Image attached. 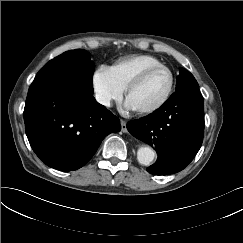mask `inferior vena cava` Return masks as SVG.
<instances>
[{"instance_id":"602c4592","label":"inferior vena cava","mask_w":243,"mask_h":243,"mask_svg":"<svg viewBox=\"0 0 243 243\" xmlns=\"http://www.w3.org/2000/svg\"><path fill=\"white\" fill-rule=\"evenodd\" d=\"M96 100L104 105V106H107V107H110V100L102 95H96Z\"/></svg>"}]
</instances>
